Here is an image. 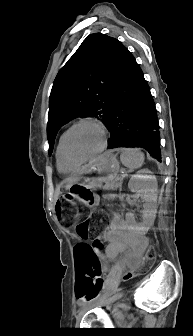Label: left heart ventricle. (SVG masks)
<instances>
[{
  "mask_svg": "<svg viewBox=\"0 0 193 336\" xmlns=\"http://www.w3.org/2000/svg\"><path fill=\"white\" fill-rule=\"evenodd\" d=\"M103 142L100 129L92 124L76 127L68 137V149L75 157H83L97 151Z\"/></svg>",
  "mask_w": 193,
  "mask_h": 336,
  "instance_id": "1",
  "label": "left heart ventricle"
}]
</instances>
